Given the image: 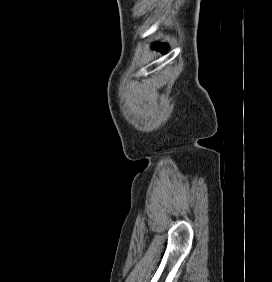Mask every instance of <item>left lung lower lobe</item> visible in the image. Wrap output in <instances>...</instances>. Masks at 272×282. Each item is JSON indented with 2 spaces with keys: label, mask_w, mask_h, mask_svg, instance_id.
<instances>
[{
  "label": "left lung lower lobe",
  "mask_w": 272,
  "mask_h": 282,
  "mask_svg": "<svg viewBox=\"0 0 272 282\" xmlns=\"http://www.w3.org/2000/svg\"><path fill=\"white\" fill-rule=\"evenodd\" d=\"M156 50H159L161 52H164L167 50V46L166 45H161V44H156L153 46Z\"/></svg>",
  "instance_id": "left-lung-lower-lobe-1"
}]
</instances>
